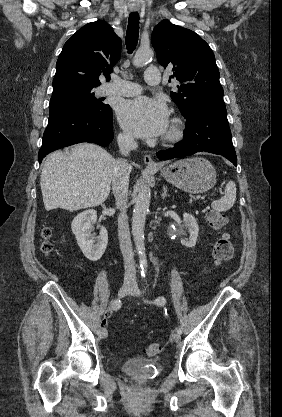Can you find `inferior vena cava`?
Masks as SVG:
<instances>
[{
	"mask_svg": "<svg viewBox=\"0 0 282 417\" xmlns=\"http://www.w3.org/2000/svg\"><path fill=\"white\" fill-rule=\"evenodd\" d=\"M117 144L121 154H125V156L129 154L130 150L138 146L137 142L129 134H118ZM131 168V164H128L125 160H116L112 174V188L116 198V204L118 209L122 211L118 217V239L124 261V281H136V265L131 245L128 217L126 215L128 182Z\"/></svg>",
	"mask_w": 282,
	"mask_h": 417,
	"instance_id": "1",
	"label": "inferior vena cava"
}]
</instances>
